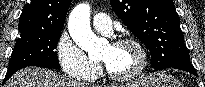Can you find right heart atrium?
Returning a JSON list of instances; mask_svg holds the SVG:
<instances>
[{
    "instance_id": "right-heart-atrium-1",
    "label": "right heart atrium",
    "mask_w": 205,
    "mask_h": 87,
    "mask_svg": "<svg viewBox=\"0 0 205 87\" xmlns=\"http://www.w3.org/2000/svg\"><path fill=\"white\" fill-rule=\"evenodd\" d=\"M55 52L62 70L69 77L91 80L98 75L99 66L86 55L67 32L60 35Z\"/></svg>"
}]
</instances>
